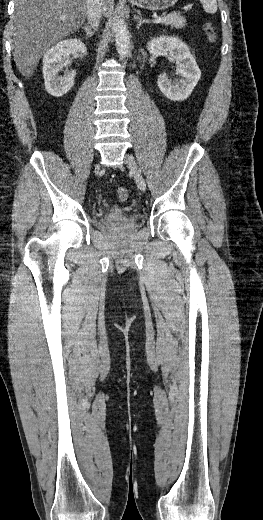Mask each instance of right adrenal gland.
Returning a JSON list of instances; mask_svg holds the SVG:
<instances>
[{
    "label": "right adrenal gland",
    "instance_id": "1",
    "mask_svg": "<svg viewBox=\"0 0 263 520\" xmlns=\"http://www.w3.org/2000/svg\"><path fill=\"white\" fill-rule=\"evenodd\" d=\"M81 28L85 31L86 33V36L91 38L94 34V32L96 31V29H91V27H89L88 25H84V26H81Z\"/></svg>",
    "mask_w": 263,
    "mask_h": 520
}]
</instances>
